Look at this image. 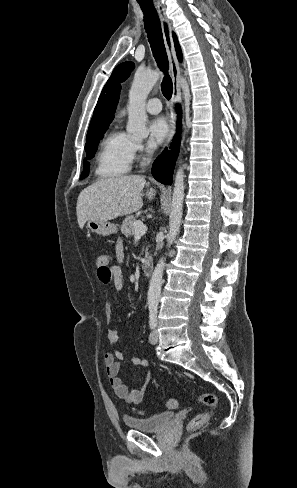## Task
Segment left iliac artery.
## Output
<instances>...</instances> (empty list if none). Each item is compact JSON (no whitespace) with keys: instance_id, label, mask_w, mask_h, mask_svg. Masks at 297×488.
Returning a JSON list of instances; mask_svg holds the SVG:
<instances>
[{"instance_id":"obj_1","label":"left iliac artery","mask_w":297,"mask_h":488,"mask_svg":"<svg viewBox=\"0 0 297 488\" xmlns=\"http://www.w3.org/2000/svg\"><path fill=\"white\" fill-rule=\"evenodd\" d=\"M149 310V325L151 329H154L157 325V308L152 306Z\"/></svg>"}]
</instances>
